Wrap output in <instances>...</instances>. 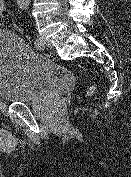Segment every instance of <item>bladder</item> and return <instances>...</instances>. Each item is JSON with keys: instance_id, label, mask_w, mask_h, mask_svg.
Segmentation results:
<instances>
[{"instance_id": "31cf9c89", "label": "bladder", "mask_w": 131, "mask_h": 177, "mask_svg": "<svg viewBox=\"0 0 131 177\" xmlns=\"http://www.w3.org/2000/svg\"><path fill=\"white\" fill-rule=\"evenodd\" d=\"M74 83L69 69L34 54L18 37L0 33V99L45 103Z\"/></svg>"}]
</instances>
